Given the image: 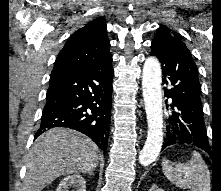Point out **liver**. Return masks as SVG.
<instances>
[{
  "label": "liver",
  "mask_w": 221,
  "mask_h": 191,
  "mask_svg": "<svg viewBox=\"0 0 221 191\" xmlns=\"http://www.w3.org/2000/svg\"><path fill=\"white\" fill-rule=\"evenodd\" d=\"M99 163V149L85 135L53 128L37 138L27 155L25 191H41L61 175L87 173Z\"/></svg>",
  "instance_id": "liver-1"
}]
</instances>
